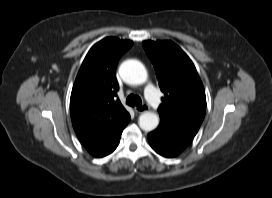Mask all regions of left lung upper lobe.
I'll use <instances>...</instances> for the list:
<instances>
[{
  "label": "left lung upper lobe",
  "instance_id": "5c2ea615",
  "mask_svg": "<svg viewBox=\"0 0 272 198\" xmlns=\"http://www.w3.org/2000/svg\"><path fill=\"white\" fill-rule=\"evenodd\" d=\"M142 45L164 93L158 108L160 117L199 129L205 116L206 96L190 58L171 41H144Z\"/></svg>",
  "mask_w": 272,
  "mask_h": 198
}]
</instances>
